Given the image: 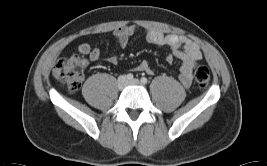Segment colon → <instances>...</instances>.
<instances>
[{
    "mask_svg": "<svg viewBox=\"0 0 267 166\" xmlns=\"http://www.w3.org/2000/svg\"><path fill=\"white\" fill-rule=\"evenodd\" d=\"M83 66L84 62L80 58L63 60L58 62L55 66L54 75L61 84L69 89V91H74L79 85ZM196 79L200 87H207L210 83L209 70L206 67H200L197 70Z\"/></svg>",
    "mask_w": 267,
    "mask_h": 166,
    "instance_id": "colon-1",
    "label": "colon"
}]
</instances>
